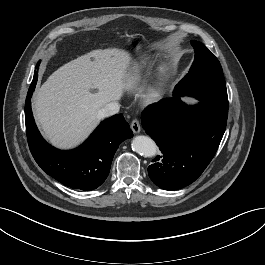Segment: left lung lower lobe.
I'll list each match as a JSON object with an SVG mask.
<instances>
[{"label":"left lung lower lobe","instance_id":"left-lung-lower-lobe-1","mask_svg":"<svg viewBox=\"0 0 265 265\" xmlns=\"http://www.w3.org/2000/svg\"><path fill=\"white\" fill-rule=\"evenodd\" d=\"M176 91L142 113V127L155 140L163 157L148 167L150 179L164 190L194 182L214 157L226 129L228 114L206 103L184 104Z\"/></svg>","mask_w":265,"mask_h":265}]
</instances>
